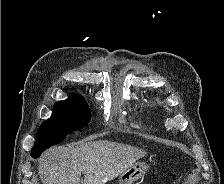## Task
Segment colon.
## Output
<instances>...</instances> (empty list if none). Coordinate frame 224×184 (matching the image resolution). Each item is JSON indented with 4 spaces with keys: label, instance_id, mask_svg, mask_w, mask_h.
<instances>
[{
    "label": "colon",
    "instance_id": "colon-1",
    "mask_svg": "<svg viewBox=\"0 0 224 184\" xmlns=\"http://www.w3.org/2000/svg\"><path fill=\"white\" fill-rule=\"evenodd\" d=\"M176 183V180H173V184H175Z\"/></svg>",
    "mask_w": 224,
    "mask_h": 184
}]
</instances>
